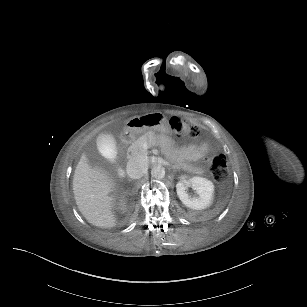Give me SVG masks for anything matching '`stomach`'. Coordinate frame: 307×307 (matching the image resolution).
<instances>
[{"instance_id":"stomach-1","label":"stomach","mask_w":307,"mask_h":307,"mask_svg":"<svg viewBox=\"0 0 307 307\" xmlns=\"http://www.w3.org/2000/svg\"><path fill=\"white\" fill-rule=\"evenodd\" d=\"M128 126L135 133H141L146 130H156L164 134L171 133L168 120L160 113L134 117L129 120Z\"/></svg>"}]
</instances>
